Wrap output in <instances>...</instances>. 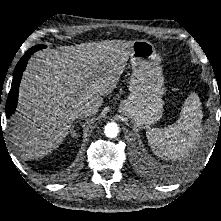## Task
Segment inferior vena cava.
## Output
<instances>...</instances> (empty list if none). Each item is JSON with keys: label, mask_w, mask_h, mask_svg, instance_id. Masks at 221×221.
<instances>
[{"label": "inferior vena cava", "mask_w": 221, "mask_h": 221, "mask_svg": "<svg viewBox=\"0 0 221 221\" xmlns=\"http://www.w3.org/2000/svg\"><path fill=\"white\" fill-rule=\"evenodd\" d=\"M97 111H98L97 108L90 105L89 103H86L77 108L76 114L80 118H86L88 116L96 114Z\"/></svg>", "instance_id": "inferior-vena-cava-1"}]
</instances>
